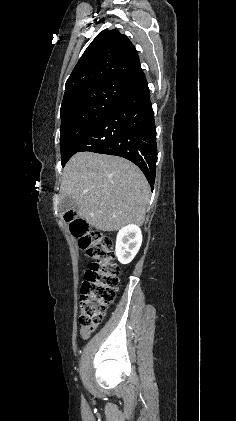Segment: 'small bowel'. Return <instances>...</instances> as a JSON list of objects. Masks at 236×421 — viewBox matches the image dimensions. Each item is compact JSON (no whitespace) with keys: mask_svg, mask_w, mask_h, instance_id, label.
Returning a JSON list of instances; mask_svg holds the SVG:
<instances>
[{"mask_svg":"<svg viewBox=\"0 0 236 421\" xmlns=\"http://www.w3.org/2000/svg\"><path fill=\"white\" fill-rule=\"evenodd\" d=\"M90 332H91V331H89V330H82V331H81V334H82V336H83L84 338H87V337L90 335Z\"/></svg>","mask_w":236,"mask_h":421,"instance_id":"obj_1","label":"small bowel"}]
</instances>
